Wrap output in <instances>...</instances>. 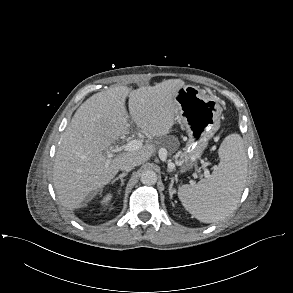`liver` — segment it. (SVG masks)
Wrapping results in <instances>:
<instances>
[{
  "instance_id": "obj_1",
  "label": "liver",
  "mask_w": 293,
  "mask_h": 293,
  "mask_svg": "<svg viewBox=\"0 0 293 293\" xmlns=\"http://www.w3.org/2000/svg\"><path fill=\"white\" fill-rule=\"evenodd\" d=\"M180 79H169L155 86L129 91L117 86L92 95L75 112L61 135L53 167V184L61 205L68 210L80 209L91 194L107 185L118 173L124 159L136 166L149 160L153 145H143L106 162L108 147L130 128L125 108L129 95V112L141 132L149 138H163L175 124Z\"/></svg>"
}]
</instances>
